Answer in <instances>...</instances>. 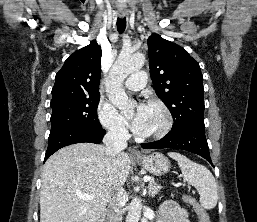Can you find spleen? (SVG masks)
Here are the masks:
<instances>
[{
	"mask_svg": "<svg viewBox=\"0 0 257 222\" xmlns=\"http://www.w3.org/2000/svg\"><path fill=\"white\" fill-rule=\"evenodd\" d=\"M168 155L178 162L184 179L197 189L201 206L207 210L213 209L217 205L218 193L212 173L180 153L170 152Z\"/></svg>",
	"mask_w": 257,
	"mask_h": 222,
	"instance_id": "obj_1",
	"label": "spleen"
}]
</instances>
